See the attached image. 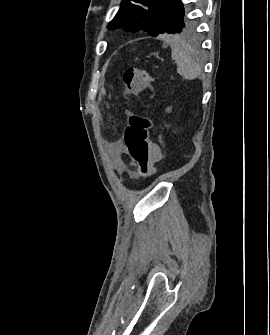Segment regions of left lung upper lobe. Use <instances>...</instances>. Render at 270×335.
I'll use <instances>...</instances> for the list:
<instances>
[{
    "label": "left lung upper lobe",
    "instance_id": "left-lung-upper-lobe-1",
    "mask_svg": "<svg viewBox=\"0 0 270 335\" xmlns=\"http://www.w3.org/2000/svg\"><path fill=\"white\" fill-rule=\"evenodd\" d=\"M123 0L108 29L147 31L151 36L168 33L187 35L194 30L181 0Z\"/></svg>",
    "mask_w": 270,
    "mask_h": 335
}]
</instances>
